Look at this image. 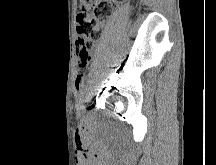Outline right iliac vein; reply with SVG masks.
I'll use <instances>...</instances> for the list:
<instances>
[{"label": "right iliac vein", "instance_id": "obj_1", "mask_svg": "<svg viewBox=\"0 0 216 165\" xmlns=\"http://www.w3.org/2000/svg\"><path fill=\"white\" fill-rule=\"evenodd\" d=\"M86 105L85 104H83L82 106L81 105H79V109H78V115H80L81 114V110H84V107H85Z\"/></svg>", "mask_w": 216, "mask_h": 165}]
</instances>
